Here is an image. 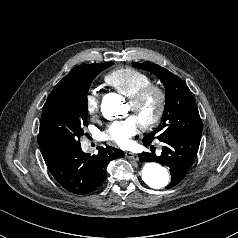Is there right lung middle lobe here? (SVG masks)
Here are the masks:
<instances>
[{
	"instance_id": "dd1d6c3e",
	"label": "right lung middle lobe",
	"mask_w": 238,
	"mask_h": 238,
	"mask_svg": "<svg viewBox=\"0 0 238 238\" xmlns=\"http://www.w3.org/2000/svg\"><path fill=\"white\" fill-rule=\"evenodd\" d=\"M112 62L86 65L72 79L56 87L48 96L42 111L39 145L59 152L80 146L79 138L87 126V93L94 77Z\"/></svg>"
}]
</instances>
